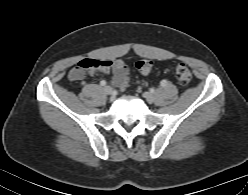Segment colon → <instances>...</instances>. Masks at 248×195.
<instances>
[{
	"instance_id": "colon-1",
	"label": "colon",
	"mask_w": 248,
	"mask_h": 195,
	"mask_svg": "<svg viewBox=\"0 0 248 195\" xmlns=\"http://www.w3.org/2000/svg\"><path fill=\"white\" fill-rule=\"evenodd\" d=\"M136 67L141 74H148L152 67L153 61L148 59H143L137 62ZM95 66L91 59H85L80 61L76 66H74L69 72V78L73 81L81 80L89 73ZM175 77L179 84L187 85L192 79V74L190 69L184 63H179L175 67ZM129 79L127 76L121 78L118 82V88L125 89L128 86Z\"/></svg>"
}]
</instances>
